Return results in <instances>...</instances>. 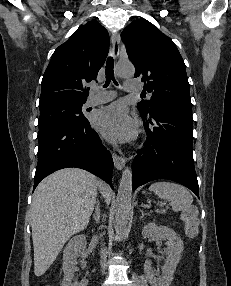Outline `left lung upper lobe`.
<instances>
[{
  "label": "left lung upper lobe",
  "instance_id": "left-lung-upper-lobe-1",
  "mask_svg": "<svg viewBox=\"0 0 231 286\" xmlns=\"http://www.w3.org/2000/svg\"><path fill=\"white\" fill-rule=\"evenodd\" d=\"M121 37L135 77H141L145 90L152 93L150 100L138 103L141 115L158 103L192 108L185 64L173 41L145 19L130 23Z\"/></svg>",
  "mask_w": 231,
  "mask_h": 286
}]
</instances>
